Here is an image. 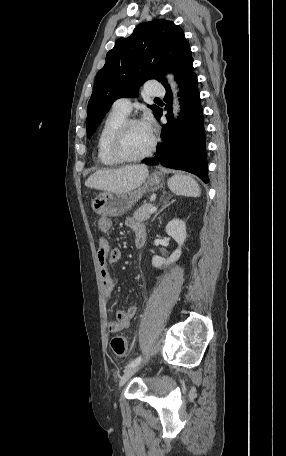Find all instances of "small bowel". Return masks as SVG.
Instances as JSON below:
<instances>
[{
  "label": "small bowel",
  "instance_id": "obj_1",
  "mask_svg": "<svg viewBox=\"0 0 286 456\" xmlns=\"http://www.w3.org/2000/svg\"><path fill=\"white\" fill-rule=\"evenodd\" d=\"M126 226L134 232V239H136L141 234L146 235L144 225L134 218H127ZM98 228L102 233L109 232L112 228L111 218L101 217L98 221ZM97 259L100 267V277L102 281L103 292L105 297L108 298L114 289V282L110 276L108 265L118 262L121 259V251L117 248H111L109 241L106 238L101 237L99 241ZM137 311L138 307L136 305H131L124 310H118L116 312V319L109 321L107 324L108 332L118 333L123 329L129 327L131 320L136 316Z\"/></svg>",
  "mask_w": 286,
  "mask_h": 456
}]
</instances>
